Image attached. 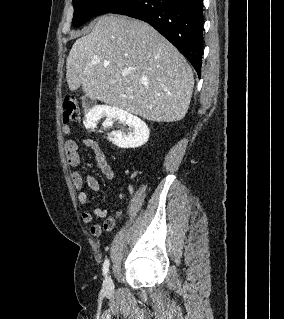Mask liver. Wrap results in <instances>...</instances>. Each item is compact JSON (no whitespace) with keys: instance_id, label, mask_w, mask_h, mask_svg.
Segmentation results:
<instances>
[{"instance_id":"liver-1","label":"liver","mask_w":284,"mask_h":319,"mask_svg":"<svg viewBox=\"0 0 284 319\" xmlns=\"http://www.w3.org/2000/svg\"><path fill=\"white\" fill-rule=\"evenodd\" d=\"M69 89L144 119L174 122L188 111L194 77L185 57L149 24L104 15L66 60Z\"/></svg>"}]
</instances>
